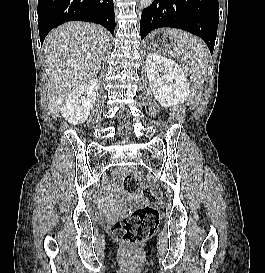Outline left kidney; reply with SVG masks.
I'll list each match as a JSON object with an SVG mask.
<instances>
[{
    "instance_id": "1",
    "label": "left kidney",
    "mask_w": 265,
    "mask_h": 273,
    "mask_svg": "<svg viewBox=\"0 0 265 273\" xmlns=\"http://www.w3.org/2000/svg\"><path fill=\"white\" fill-rule=\"evenodd\" d=\"M151 91L155 99L164 107L184 103L189 96V82L178 64L157 53L148 54L145 62ZM160 67L164 73L159 74Z\"/></svg>"
}]
</instances>
